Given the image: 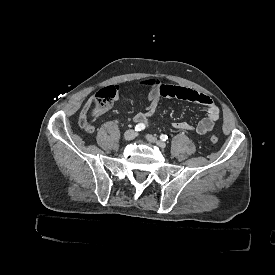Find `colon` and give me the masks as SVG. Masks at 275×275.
<instances>
[{
	"label": "colon",
	"mask_w": 275,
	"mask_h": 275,
	"mask_svg": "<svg viewBox=\"0 0 275 275\" xmlns=\"http://www.w3.org/2000/svg\"><path fill=\"white\" fill-rule=\"evenodd\" d=\"M109 98H105V97H101L99 98L97 101L98 102H104L107 101ZM107 108V105H99L97 107V109H95V113H99L100 110H104ZM88 109L87 108L85 111L82 112L80 118H79V125L81 126V128L85 131H91L92 130V126L88 123L87 119H86V115L88 113ZM210 142L215 144L218 142V136L217 135H212L210 137Z\"/></svg>",
	"instance_id": "obj_1"
}]
</instances>
